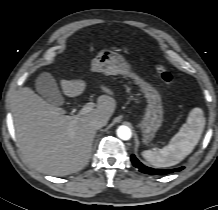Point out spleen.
Instances as JSON below:
<instances>
[{
	"label": "spleen",
	"instance_id": "3e777b00",
	"mask_svg": "<svg viewBox=\"0 0 218 210\" xmlns=\"http://www.w3.org/2000/svg\"><path fill=\"white\" fill-rule=\"evenodd\" d=\"M205 126V118L200 108L191 110L187 122L170 140L167 146L159 150H145L142 156L155 167H170L180 163L198 144Z\"/></svg>",
	"mask_w": 218,
	"mask_h": 210
}]
</instances>
